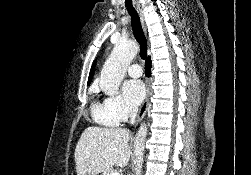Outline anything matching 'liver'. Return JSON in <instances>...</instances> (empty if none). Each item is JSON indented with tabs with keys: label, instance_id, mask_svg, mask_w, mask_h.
Returning a JSON list of instances; mask_svg holds the SVG:
<instances>
[{
	"label": "liver",
	"instance_id": "6515ba94",
	"mask_svg": "<svg viewBox=\"0 0 251 175\" xmlns=\"http://www.w3.org/2000/svg\"><path fill=\"white\" fill-rule=\"evenodd\" d=\"M130 137L122 127H86L75 149L77 175H97L112 165H128Z\"/></svg>",
	"mask_w": 251,
	"mask_h": 175
}]
</instances>
